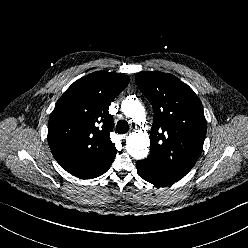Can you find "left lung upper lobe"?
Masks as SVG:
<instances>
[{"mask_svg": "<svg viewBox=\"0 0 248 248\" xmlns=\"http://www.w3.org/2000/svg\"><path fill=\"white\" fill-rule=\"evenodd\" d=\"M135 82L154 110L148 158L184 177L203 149L207 124L201 101L188 85L169 73H139Z\"/></svg>", "mask_w": 248, "mask_h": 248, "instance_id": "left-lung-upper-lobe-1", "label": "left lung upper lobe"}]
</instances>
